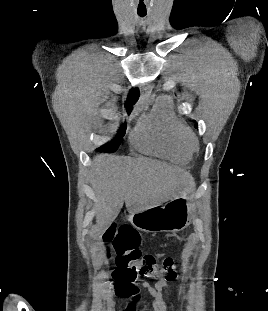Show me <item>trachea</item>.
<instances>
[{
    "instance_id": "1",
    "label": "trachea",
    "mask_w": 268,
    "mask_h": 311,
    "mask_svg": "<svg viewBox=\"0 0 268 311\" xmlns=\"http://www.w3.org/2000/svg\"><path fill=\"white\" fill-rule=\"evenodd\" d=\"M146 14H139L140 17H144Z\"/></svg>"
}]
</instances>
